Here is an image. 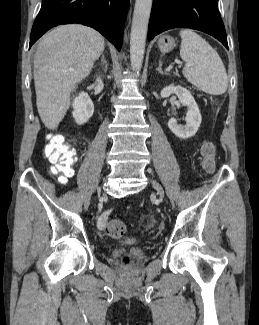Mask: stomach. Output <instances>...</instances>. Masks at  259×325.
<instances>
[{
  "instance_id": "0dacf381",
  "label": "stomach",
  "mask_w": 259,
  "mask_h": 325,
  "mask_svg": "<svg viewBox=\"0 0 259 325\" xmlns=\"http://www.w3.org/2000/svg\"><path fill=\"white\" fill-rule=\"evenodd\" d=\"M158 47L163 53L170 52L175 47V40L168 35L160 37Z\"/></svg>"
}]
</instances>
